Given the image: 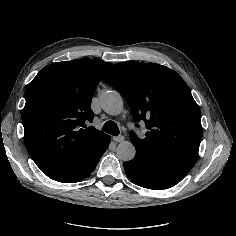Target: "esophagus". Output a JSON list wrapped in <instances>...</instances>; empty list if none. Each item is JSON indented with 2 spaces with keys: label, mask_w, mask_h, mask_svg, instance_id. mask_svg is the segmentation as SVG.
<instances>
[{
  "label": "esophagus",
  "mask_w": 236,
  "mask_h": 236,
  "mask_svg": "<svg viewBox=\"0 0 236 236\" xmlns=\"http://www.w3.org/2000/svg\"><path fill=\"white\" fill-rule=\"evenodd\" d=\"M124 140V136H116V137H113V141L115 142H121Z\"/></svg>",
  "instance_id": "esophagus-1"
}]
</instances>
